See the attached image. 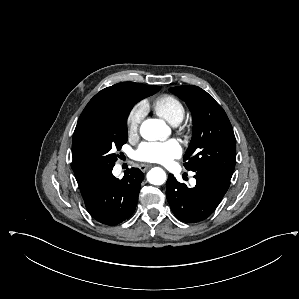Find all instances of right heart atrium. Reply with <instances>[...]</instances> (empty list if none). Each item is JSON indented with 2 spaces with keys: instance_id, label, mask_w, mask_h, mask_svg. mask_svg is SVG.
Returning a JSON list of instances; mask_svg holds the SVG:
<instances>
[{
  "instance_id": "d8ad5b80",
  "label": "right heart atrium",
  "mask_w": 299,
  "mask_h": 299,
  "mask_svg": "<svg viewBox=\"0 0 299 299\" xmlns=\"http://www.w3.org/2000/svg\"><path fill=\"white\" fill-rule=\"evenodd\" d=\"M146 106L143 102L135 104L126 117L127 131L129 135L137 133L139 126L145 117Z\"/></svg>"
}]
</instances>
